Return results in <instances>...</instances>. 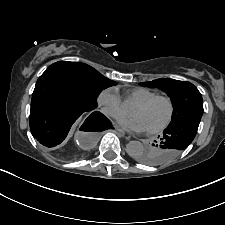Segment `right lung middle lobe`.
<instances>
[{"label":"right lung middle lobe","mask_w":225,"mask_h":225,"mask_svg":"<svg viewBox=\"0 0 225 225\" xmlns=\"http://www.w3.org/2000/svg\"><path fill=\"white\" fill-rule=\"evenodd\" d=\"M41 76L58 77L69 83L94 107L98 94L116 82L109 80L91 66L80 62L59 61L50 65Z\"/></svg>","instance_id":"1"}]
</instances>
